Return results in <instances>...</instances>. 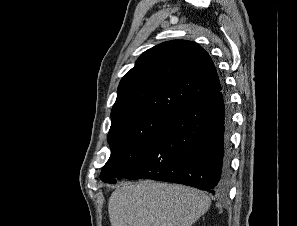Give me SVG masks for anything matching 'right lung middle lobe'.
<instances>
[{
	"label": "right lung middle lobe",
	"instance_id": "right-lung-middle-lobe-1",
	"mask_svg": "<svg viewBox=\"0 0 297 226\" xmlns=\"http://www.w3.org/2000/svg\"><path fill=\"white\" fill-rule=\"evenodd\" d=\"M171 115L148 113L111 124L107 137L111 155L102 168L100 179L107 183H115L116 179L144 152Z\"/></svg>",
	"mask_w": 297,
	"mask_h": 226
}]
</instances>
